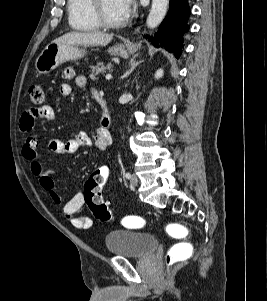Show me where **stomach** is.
I'll use <instances>...</instances> for the list:
<instances>
[{
	"mask_svg": "<svg viewBox=\"0 0 267 301\" xmlns=\"http://www.w3.org/2000/svg\"><path fill=\"white\" fill-rule=\"evenodd\" d=\"M111 55L127 58L129 50L122 44H117L109 48ZM86 54L85 49H81L76 44L50 43L41 52L35 62V68L39 74H48L56 69L60 64L67 61H76Z\"/></svg>",
	"mask_w": 267,
	"mask_h": 301,
	"instance_id": "stomach-1",
	"label": "stomach"
}]
</instances>
